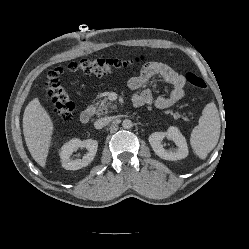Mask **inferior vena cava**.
Listing matches in <instances>:
<instances>
[{
    "instance_id": "obj_1",
    "label": "inferior vena cava",
    "mask_w": 249,
    "mask_h": 249,
    "mask_svg": "<svg viewBox=\"0 0 249 249\" xmlns=\"http://www.w3.org/2000/svg\"><path fill=\"white\" fill-rule=\"evenodd\" d=\"M110 121H111L110 117L100 118V119H98V120H96L94 122V127L96 129H102L103 127H105L106 125H108Z\"/></svg>"
}]
</instances>
